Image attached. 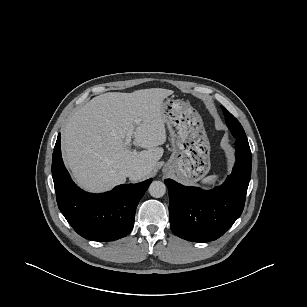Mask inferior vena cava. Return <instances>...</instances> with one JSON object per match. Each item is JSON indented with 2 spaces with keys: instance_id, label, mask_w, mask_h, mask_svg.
Segmentation results:
<instances>
[{
  "instance_id": "602c4592",
  "label": "inferior vena cava",
  "mask_w": 307,
  "mask_h": 307,
  "mask_svg": "<svg viewBox=\"0 0 307 307\" xmlns=\"http://www.w3.org/2000/svg\"><path fill=\"white\" fill-rule=\"evenodd\" d=\"M138 174H140V171L139 170H135V169H133V168H128V169H126L125 171H124V175L126 176V177H134L135 175H138Z\"/></svg>"
}]
</instances>
